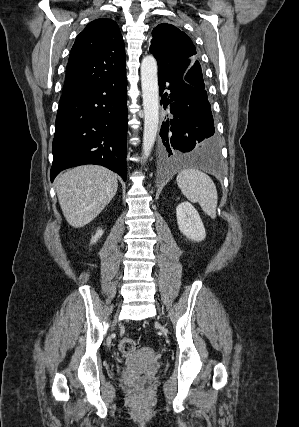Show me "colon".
Here are the masks:
<instances>
[{"label": "colon", "mask_w": 299, "mask_h": 427, "mask_svg": "<svg viewBox=\"0 0 299 427\" xmlns=\"http://www.w3.org/2000/svg\"><path fill=\"white\" fill-rule=\"evenodd\" d=\"M119 349L122 353L129 354L135 351L136 343L132 338L125 337L119 343Z\"/></svg>", "instance_id": "1"}]
</instances>
